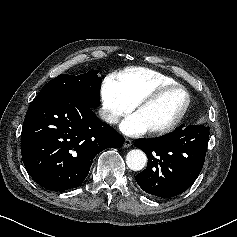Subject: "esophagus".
Here are the masks:
<instances>
[{
    "mask_svg": "<svg viewBox=\"0 0 237 237\" xmlns=\"http://www.w3.org/2000/svg\"><path fill=\"white\" fill-rule=\"evenodd\" d=\"M131 145H132V141L130 139L126 138L125 141H124V147L128 148Z\"/></svg>",
    "mask_w": 237,
    "mask_h": 237,
    "instance_id": "1",
    "label": "esophagus"
}]
</instances>
